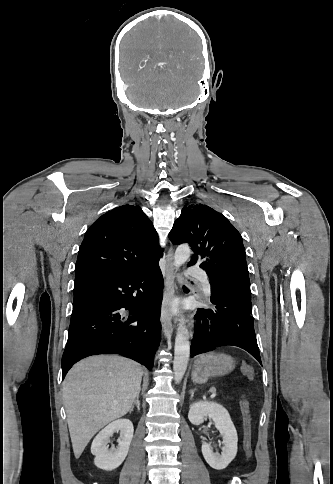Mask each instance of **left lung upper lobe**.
<instances>
[{"label": "left lung upper lobe", "mask_w": 333, "mask_h": 484, "mask_svg": "<svg viewBox=\"0 0 333 484\" xmlns=\"http://www.w3.org/2000/svg\"><path fill=\"white\" fill-rule=\"evenodd\" d=\"M169 238L177 245L188 243L195 253L192 257L195 260L205 261L224 249H238L245 257L240 233L221 213L207 205L184 206Z\"/></svg>", "instance_id": "1"}]
</instances>
